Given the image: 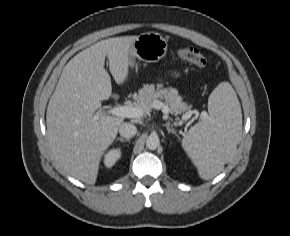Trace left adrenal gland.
Returning a JSON list of instances; mask_svg holds the SVG:
<instances>
[{
    "label": "left adrenal gland",
    "mask_w": 290,
    "mask_h": 236,
    "mask_svg": "<svg viewBox=\"0 0 290 236\" xmlns=\"http://www.w3.org/2000/svg\"><path fill=\"white\" fill-rule=\"evenodd\" d=\"M165 127H166L168 133H172V134L178 136L177 132H176L174 129H171V128H170V125H169L168 123L165 124Z\"/></svg>",
    "instance_id": "left-adrenal-gland-1"
}]
</instances>
